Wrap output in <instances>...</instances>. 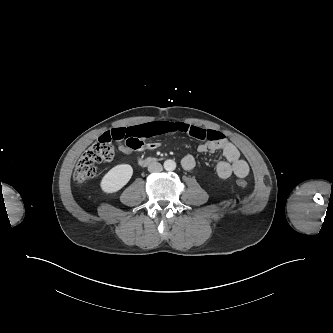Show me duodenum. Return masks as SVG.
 Returning <instances> with one entry per match:
<instances>
[{
  "mask_svg": "<svg viewBox=\"0 0 333 333\" xmlns=\"http://www.w3.org/2000/svg\"><path fill=\"white\" fill-rule=\"evenodd\" d=\"M154 161H156V159L154 157H144V158H140L138 160L139 164L142 166L148 165Z\"/></svg>",
  "mask_w": 333,
  "mask_h": 333,
  "instance_id": "obj_1",
  "label": "duodenum"
}]
</instances>
